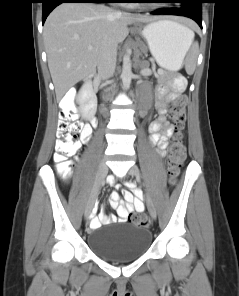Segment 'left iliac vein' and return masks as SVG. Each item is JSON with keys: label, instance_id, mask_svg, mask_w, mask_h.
<instances>
[{"label": "left iliac vein", "instance_id": "obj_1", "mask_svg": "<svg viewBox=\"0 0 239 296\" xmlns=\"http://www.w3.org/2000/svg\"><path fill=\"white\" fill-rule=\"evenodd\" d=\"M128 172L131 176H134L137 179L141 177L140 171L137 166H132ZM146 205L152 218L156 219L157 217L156 208L154 206L152 199L148 195L146 196Z\"/></svg>", "mask_w": 239, "mask_h": 296}]
</instances>
